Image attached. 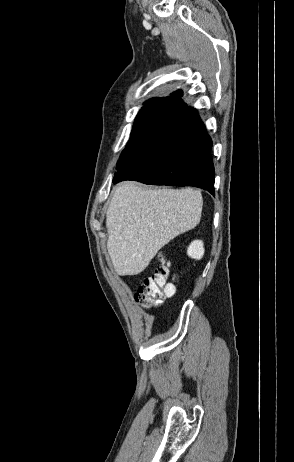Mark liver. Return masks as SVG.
Returning a JSON list of instances; mask_svg holds the SVG:
<instances>
[{"instance_id": "1", "label": "liver", "mask_w": 294, "mask_h": 462, "mask_svg": "<svg viewBox=\"0 0 294 462\" xmlns=\"http://www.w3.org/2000/svg\"><path fill=\"white\" fill-rule=\"evenodd\" d=\"M202 205L201 192L192 188L146 190L135 182L114 188L106 227L117 274L144 271L164 245L199 224Z\"/></svg>"}]
</instances>
